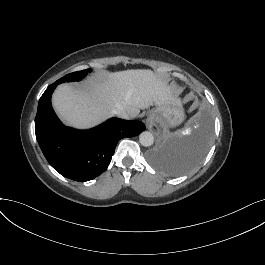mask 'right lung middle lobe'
<instances>
[{"label": "right lung middle lobe", "instance_id": "right-lung-middle-lobe-1", "mask_svg": "<svg viewBox=\"0 0 265 265\" xmlns=\"http://www.w3.org/2000/svg\"><path fill=\"white\" fill-rule=\"evenodd\" d=\"M89 71H90L89 69H86V70H82V71L73 72L71 74H68V75L60 78L57 82L60 84V83H63V82L79 81L83 77H85V75Z\"/></svg>", "mask_w": 265, "mask_h": 265}]
</instances>
